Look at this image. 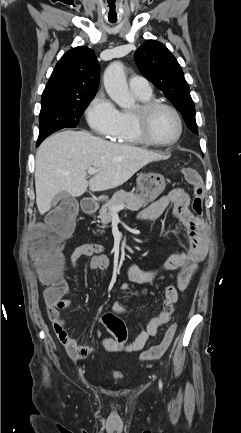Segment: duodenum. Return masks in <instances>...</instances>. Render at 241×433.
Instances as JSON below:
<instances>
[{
    "label": "duodenum",
    "instance_id": "obj_1",
    "mask_svg": "<svg viewBox=\"0 0 241 433\" xmlns=\"http://www.w3.org/2000/svg\"><path fill=\"white\" fill-rule=\"evenodd\" d=\"M81 208L85 214H92L95 212L97 205L92 198L85 197L81 201Z\"/></svg>",
    "mask_w": 241,
    "mask_h": 433
}]
</instances>
